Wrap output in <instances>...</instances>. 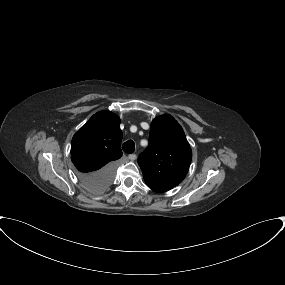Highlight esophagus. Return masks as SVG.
Wrapping results in <instances>:
<instances>
[{"mask_svg": "<svg viewBox=\"0 0 285 285\" xmlns=\"http://www.w3.org/2000/svg\"><path fill=\"white\" fill-rule=\"evenodd\" d=\"M128 158L131 160V161H134L136 159V155L135 154H130L128 156Z\"/></svg>", "mask_w": 285, "mask_h": 285, "instance_id": "esophagus-1", "label": "esophagus"}]
</instances>
